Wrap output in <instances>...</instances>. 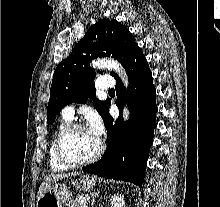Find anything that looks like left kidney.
<instances>
[{
    "label": "left kidney",
    "mask_w": 220,
    "mask_h": 207,
    "mask_svg": "<svg viewBox=\"0 0 220 207\" xmlns=\"http://www.w3.org/2000/svg\"><path fill=\"white\" fill-rule=\"evenodd\" d=\"M111 207H125V201H124V196L119 197L118 194H114L111 196Z\"/></svg>",
    "instance_id": "5707ae66"
}]
</instances>
